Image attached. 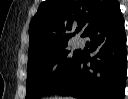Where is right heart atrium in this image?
Wrapping results in <instances>:
<instances>
[{
    "mask_svg": "<svg viewBox=\"0 0 128 99\" xmlns=\"http://www.w3.org/2000/svg\"><path fill=\"white\" fill-rule=\"evenodd\" d=\"M60 63L59 62H54L52 65H51V74L54 76V77H57L60 73Z\"/></svg>",
    "mask_w": 128,
    "mask_h": 99,
    "instance_id": "right-heart-atrium-1",
    "label": "right heart atrium"
}]
</instances>
